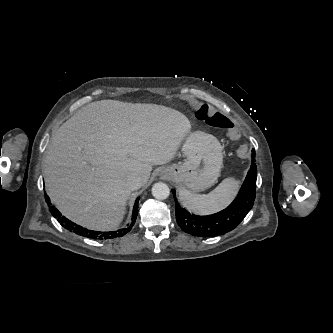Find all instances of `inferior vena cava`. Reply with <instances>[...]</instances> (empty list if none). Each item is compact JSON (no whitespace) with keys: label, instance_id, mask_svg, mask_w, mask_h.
I'll return each mask as SVG.
<instances>
[{"label":"inferior vena cava","instance_id":"602c4592","mask_svg":"<svg viewBox=\"0 0 333 333\" xmlns=\"http://www.w3.org/2000/svg\"><path fill=\"white\" fill-rule=\"evenodd\" d=\"M141 186H142V179L140 176L132 175L129 176L126 180V187L131 191L137 190Z\"/></svg>","mask_w":333,"mask_h":333}]
</instances>
